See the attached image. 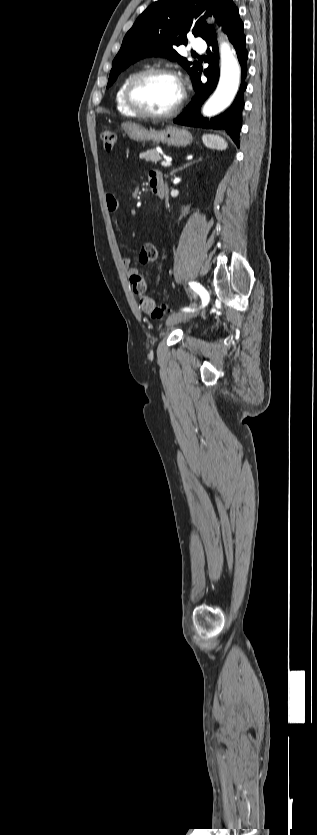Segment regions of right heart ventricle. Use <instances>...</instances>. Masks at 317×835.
<instances>
[{"label": "right heart ventricle", "mask_w": 317, "mask_h": 835, "mask_svg": "<svg viewBox=\"0 0 317 835\" xmlns=\"http://www.w3.org/2000/svg\"><path fill=\"white\" fill-rule=\"evenodd\" d=\"M137 73H138V71H132V72L128 73L123 78L121 83L119 84L118 89L116 91V95H115V102H116L117 110L120 113H122L123 115L131 116V117H135L137 115L129 108V106L126 103L125 90H126V87L129 83V81L131 80V78Z\"/></svg>", "instance_id": "obj_1"}]
</instances>
